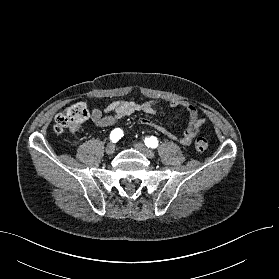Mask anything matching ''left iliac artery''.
I'll list each match as a JSON object with an SVG mask.
<instances>
[{
    "label": "left iliac artery",
    "mask_w": 279,
    "mask_h": 279,
    "mask_svg": "<svg viewBox=\"0 0 279 279\" xmlns=\"http://www.w3.org/2000/svg\"><path fill=\"white\" fill-rule=\"evenodd\" d=\"M145 144L147 147L156 148L158 146V140L154 136L147 137L145 138Z\"/></svg>",
    "instance_id": "1"
}]
</instances>
